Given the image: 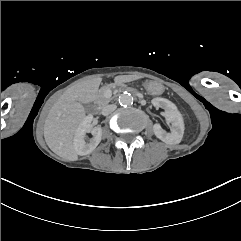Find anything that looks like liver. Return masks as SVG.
<instances>
[{"mask_svg": "<svg viewBox=\"0 0 241 241\" xmlns=\"http://www.w3.org/2000/svg\"><path fill=\"white\" fill-rule=\"evenodd\" d=\"M102 77L82 80L72 85L51 107L44 125V137L49 148L70 161L78 160L73 138L86 117L83 103L96 99Z\"/></svg>", "mask_w": 241, "mask_h": 241, "instance_id": "6515ba94", "label": "liver"}]
</instances>
